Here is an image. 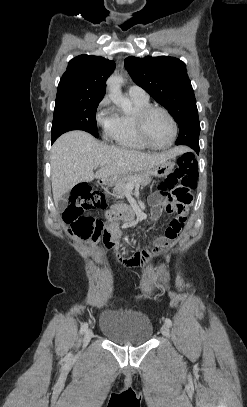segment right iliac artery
I'll return each mask as SVG.
<instances>
[{
  "label": "right iliac artery",
  "instance_id": "right-iliac-artery-1",
  "mask_svg": "<svg viewBox=\"0 0 247 407\" xmlns=\"http://www.w3.org/2000/svg\"><path fill=\"white\" fill-rule=\"evenodd\" d=\"M87 328H88V323H84L81 326L80 333L83 334L87 330Z\"/></svg>",
  "mask_w": 247,
  "mask_h": 407
}]
</instances>
